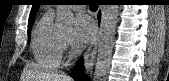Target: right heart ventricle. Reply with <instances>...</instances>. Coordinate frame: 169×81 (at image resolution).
I'll use <instances>...</instances> for the list:
<instances>
[{
	"label": "right heart ventricle",
	"mask_w": 169,
	"mask_h": 81,
	"mask_svg": "<svg viewBox=\"0 0 169 81\" xmlns=\"http://www.w3.org/2000/svg\"><path fill=\"white\" fill-rule=\"evenodd\" d=\"M62 36L53 25V12H46L34 27L31 49L35 60L46 67H57L62 57Z\"/></svg>",
	"instance_id": "e07e8e85"
}]
</instances>
